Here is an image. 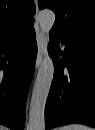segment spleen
I'll return each instance as SVG.
<instances>
[{
  "instance_id": "1",
  "label": "spleen",
  "mask_w": 95,
  "mask_h": 130,
  "mask_svg": "<svg viewBox=\"0 0 95 130\" xmlns=\"http://www.w3.org/2000/svg\"><path fill=\"white\" fill-rule=\"evenodd\" d=\"M60 130H92V129L88 126H84L81 124H70L61 127Z\"/></svg>"
}]
</instances>
